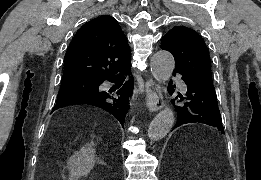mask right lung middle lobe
<instances>
[{"label": "right lung middle lobe", "instance_id": "1", "mask_svg": "<svg viewBox=\"0 0 261 180\" xmlns=\"http://www.w3.org/2000/svg\"><path fill=\"white\" fill-rule=\"evenodd\" d=\"M98 86L99 82L92 80L62 81L57 101L75 94H92L98 89Z\"/></svg>", "mask_w": 261, "mask_h": 180}]
</instances>
